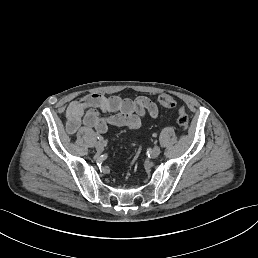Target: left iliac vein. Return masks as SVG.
Segmentation results:
<instances>
[{
  "label": "left iliac vein",
  "instance_id": "4c4485c4",
  "mask_svg": "<svg viewBox=\"0 0 258 258\" xmlns=\"http://www.w3.org/2000/svg\"><path fill=\"white\" fill-rule=\"evenodd\" d=\"M160 152H161L160 146H155V147L152 149L151 157H152V158H157Z\"/></svg>",
  "mask_w": 258,
  "mask_h": 258
}]
</instances>
